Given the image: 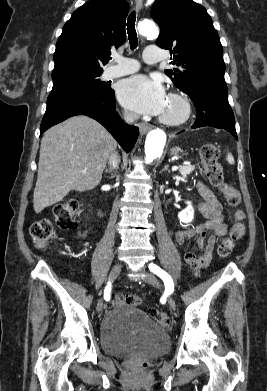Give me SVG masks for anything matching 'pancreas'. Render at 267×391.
<instances>
[{"instance_id":"obj_1","label":"pancreas","mask_w":267,"mask_h":391,"mask_svg":"<svg viewBox=\"0 0 267 391\" xmlns=\"http://www.w3.org/2000/svg\"><path fill=\"white\" fill-rule=\"evenodd\" d=\"M195 167L194 166H180V174L182 175L183 178H186L187 175L192 173L194 171Z\"/></svg>"}]
</instances>
